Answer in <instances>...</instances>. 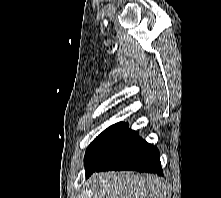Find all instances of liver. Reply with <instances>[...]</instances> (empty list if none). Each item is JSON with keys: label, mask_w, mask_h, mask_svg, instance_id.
<instances>
[{"label": "liver", "mask_w": 221, "mask_h": 198, "mask_svg": "<svg viewBox=\"0 0 221 198\" xmlns=\"http://www.w3.org/2000/svg\"><path fill=\"white\" fill-rule=\"evenodd\" d=\"M90 183L93 198H166V185L154 175L100 172Z\"/></svg>", "instance_id": "1"}]
</instances>
